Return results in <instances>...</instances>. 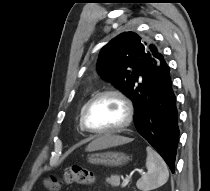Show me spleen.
Masks as SVG:
<instances>
[{
    "mask_svg": "<svg viewBox=\"0 0 210 191\" xmlns=\"http://www.w3.org/2000/svg\"><path fill=\"white\" fill-rule=\"evenodd\" d=\"M146 151V168L148 171L136 183L137 188L142 191L154 190L164 185L169 178V171L162 157L149 146Z\"/></svg>",
    "mask_w": 210,
    "mask_h": 191,
    "instance_id": "spleen-1",
    "label": "spleen"
}]
</instances>
